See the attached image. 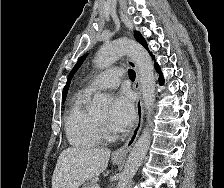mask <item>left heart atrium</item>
I'll use <instances>...</instances> for the list:
<instances>
[{"instance_id": "39dd6f15", "label": "left heart atrium", "mask_w": 224, "mask_h": 188, "mask_svg": "<svg viewBox=\"0 0 224 188\" xmlns=\"http://www.w3.org/2000/svg\"><path fill=\"white\" fill-rule=\"evenodd\" d=\"M135 119L133 96L127 91L119 92L113 101L109 114V126L115 131H124L132 125Z\"/></svg>"}]
</instances>
